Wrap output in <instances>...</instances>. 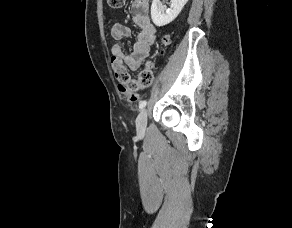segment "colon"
<instances>
[{"label":"colon","instance_id":"colon-1","mask_svg":"<svg viewBox=\"0 0 292 228\" xmlns=\"http://www.w3.org/2000/svg\"><path fill=\"white\" fill-rule=\"evenodd\" d=\"M125 0H107V4L112 9H119L124 5ZM168 39H163V44L166 45ZM115 76L118 80L119 91L131 102H136L139 99V92L149 88L154 79V62L148 60L143 68L139 71L136 78L131 77L128 70L116 64L113 67Z\"/></svg>","mask_w":292,"mask_h":228}]
</instances>
